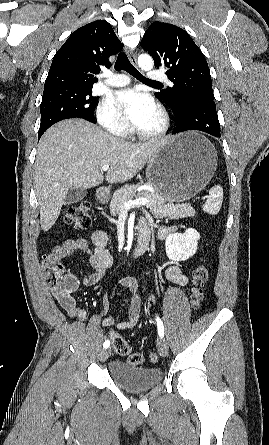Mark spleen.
<instances>
[{
    "instance_id": "1",
    "label": "spleen",
    "mask_w": 269,
    "mask_h": 445,
    "mask_svg": "<svg viewBox=\"0 0 269 445\" xmlns=\"http://www.w3.org/2000/svg\"><path fill=\"white\" fill-rule=\"evenodd\" d=\"M222 202L223 189L219 184H217L209 190V196L202 208L206 213L216 215L220 211Z\"/></svg>"
}]
</instances>
